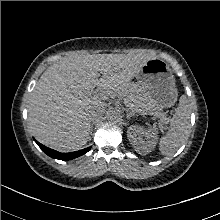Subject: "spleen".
<instances>
[{
	"label": "spleen",
	"mask_w": 220,
	"mask_h": 220,
	"mask_svg": "<svg viewBox=\"0 0 220 220\" xmlns=\"http://www.w3.org/2000/svg\"><path fill=\"white\" fill-rule=\"evenodd\" d=\"M190 113L188 99L182 95L177 111L170 120L169 129L160 139L159 150L162 155H172L183 145L189 135Z\"/></svg>",
	"instance_id": "1"
}]
</instances>
